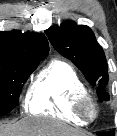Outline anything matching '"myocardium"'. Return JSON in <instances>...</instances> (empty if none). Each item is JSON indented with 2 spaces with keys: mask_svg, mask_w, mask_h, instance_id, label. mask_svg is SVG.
I'll use <instances>...</instances> for the list:
<instances>
[{
  "mask_svg": "<svg viewBox=\"0 0 117 136\" xmlns=\"http://www.w3.org/2000/svg\"><path fill=\"white\" fill-rule=\"evenodd\" d=\"M73 112L84 121L92 122L97 118L99 110L93 97L86 94L76 101Z\"/></svg>",
  "mask_w": 117,
  "mask_h": 136,
  "instance_id": "myocardium-1",
  "label": "myocardium"
}]
</instances>
